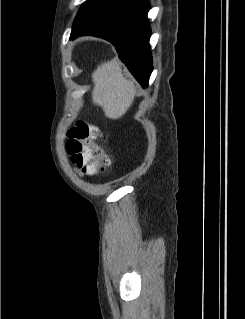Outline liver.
<instances>
[{
    "label": "liver",
    "mask_w": 245,
    "mask_h": 319,
    "mask_svg": "<svg viewBox=\"0 0 245 319\" xmlns=\"http://www.w3.org/2000/svg\"><path fill=\"white\" fill-rule=\"evenodd\" d=\"M92 81L93 103L102 107L107 118L116 120L122 117L134 101L136 88L123 76L119 64L114 61L100 64L92 73Z\"/></svg>",
    "instance_id": "1"
}]
</instances>
